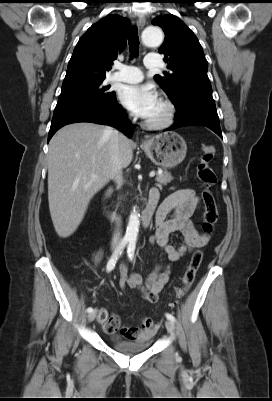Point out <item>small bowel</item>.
<instances>
[{
    "label": "small bowel",
    "instance_id": "c3829d8e",
    "mask_svg": "<svg viewBox=\"0 0 272 401\" xmlns=\"http://www.w3.org/2000/svg\"><path fill=\"white\" fill-rule=\"evenodd\" d=\"M155 191L157 190L152 189L150 194ZM198 207L199 199L192 189L175 191L158 206L155 214L156 230L151 242L158 245L166 253L169 261H178L186 253L203 247L208 242L209 237L199 232L191 221V217ZM175 232L180 233L184 238V243L179 247L169 243L170 235ZM102 256V249L94 253L93 261L96 265L100 263ZM170 272V266L162 268L160 265H156L148 277L143 280L138 273L127 275L126 267L123 266L120 268V286L122 288L138 289L143 300L155 303L158 300L160 291L169 280ZM99 314L107 313L105 309L101 308ZM103 328L111 336H116V332L120 329L125 339L137 341L154 334L158 326L154 322L143 320L140 326L126 325L120 327L119 317L116 314H112L110 315V320L103 325Z\"/></svg>",
    "mask_w": 272,
    "mask_h": 401
}]
</instances>
